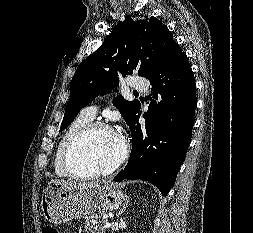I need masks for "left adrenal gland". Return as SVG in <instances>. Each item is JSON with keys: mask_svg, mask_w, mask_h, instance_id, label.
Instances as JSON below:
<instances>
[{"mask_svg": "<svg viewBox=\"0 0 253 233\" xmlns=\"http://www.w3.org/2000/svg\"><path fill=\"white\" fill-rule=\"evenodd\" d=\"M128 203H129V196L126 197V202L123 205V208L116 214L117 217H119L126 210Z\"/></svg>", "mask_w": 253, "mask_h": 233, "instance_id": "a2214340", "label": "left adrenal gland"}]
</instances>
